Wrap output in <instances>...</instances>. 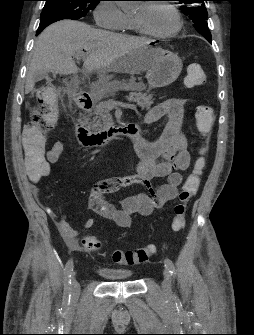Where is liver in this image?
Returning <instances> with one entry per match:
<instances>
[{"mask_svg":"<svg viewBox=\"0 0 254 335\" xmlns=\"http://www.w3.org/2000/svg\"><path fill=\"white\" fill-rule=\"evenodd\" d=\"M149 43L147 39L95 29L79 21L56 22L36 40L25 91L33 92L36 76L40 73L76 74L78 68L73 57L77 53L85 54L83 72H97L100 83L112 88L117 83L111 81L113 75L109 73L135 75L152 66Z\"/></svg>","mask_w":254,"mask_h":335,"instance_id":"liver-1","label":"liver"}]
</instances>
